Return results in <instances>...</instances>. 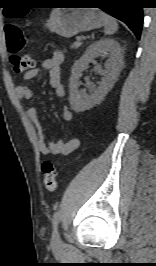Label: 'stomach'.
I'll return each instance as SVG.
<instances>
[{
  "instance_id": "1",
  "label": "stomach",
  "mask_w": 156,
  "mask_h": 266,
  "mask_svg": "<svg viewBox=\"0 0 156 266\" xmlns=\"http://www.w3.org/2000/svg\"><path fill=\"white\" fill-rule=\"evenodd\" d=\"M66 5H78L68 2ZM104 25L103 12L99 9L58 8L50 15L46 27L63 37H71L82 31H90Z\"/></svg>"
}]
</instances>
